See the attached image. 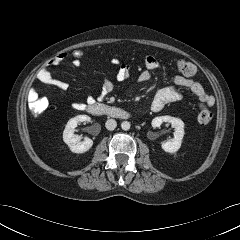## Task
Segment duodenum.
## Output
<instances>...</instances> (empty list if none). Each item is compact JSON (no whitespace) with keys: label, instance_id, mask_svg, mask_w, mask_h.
<instances>
[{"label":"duodenum","instance_id":"1","mask_svg":"<svg viewBox=\"0 0 240 240\" xmlns=\"http://www.w3.org/2000/svg\"><path fill=\"white\" fill-rule=\"evenodd\" d=\"M86 110L94 115H107L119 119H125L129 116L128 113L121 108L99 103L87 105Z\"/></svg>","mask_w":240,"mask_h":240}]
</instances>
